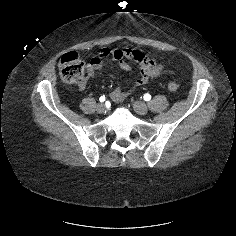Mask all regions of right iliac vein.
Returning a JSON list of instances; mask_svg holds the SVG:
<instances>
[{"label": "right iliac vein", "mask_w": 236, "mask_h": 236, "mask_svg": "<svg viewBox=\"0 0 236 236\" xmlns=\"http://www.w3.org/2000/svg\"><path fill=\"white\" fill-rule=\"evenodd\" d=\"M96 110L98 113H105L106 112V106L102 103H99L96 107Z\"/></svg>", "instance_id": "obj_1"}]
</instances>
